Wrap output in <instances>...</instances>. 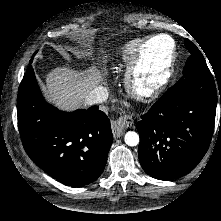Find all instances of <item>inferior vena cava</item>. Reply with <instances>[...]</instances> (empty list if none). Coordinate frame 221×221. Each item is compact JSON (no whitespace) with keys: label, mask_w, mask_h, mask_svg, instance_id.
Listing matches in <instances>:
<instances>
[{"label":"inferior vena cava","mask_w":221,"mask_h":221,"mask_svg":"<svg viewBox=\"0 0 221 221\" xmlns=\"http://www.w3.org/2000/svg\"><path fill=\"white\" fill-rule=\"evenodd\" d=\"M109 96V90L106 87H95L89 95L86 97L85 102L88 105L100 104L107 100Z\"/></svg>","instance_id":"obj_1"}]
</instances>
